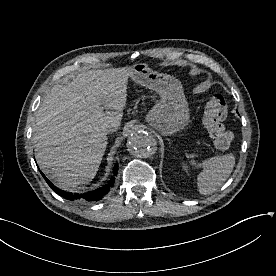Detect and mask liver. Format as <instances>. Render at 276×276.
<instances>
[{
  "instance_id": "1",
  "label": "liver",
  "mask_w": 276,
  "mask_h": 276,
  "mask_svg": "<svg viewBox=\"0 0 276 276\" xmlns=\"http://www.w3.org/2000/svg\"><path fill=\"white\" fill-rule=\"evenodd\" d=\"M131 74L132 67L89 70L53 86L43 99L32 137L35 157L60 189L73 191L95 177L107 146L103 127L120 125Z\"/></svg>"
}]
</instances>
